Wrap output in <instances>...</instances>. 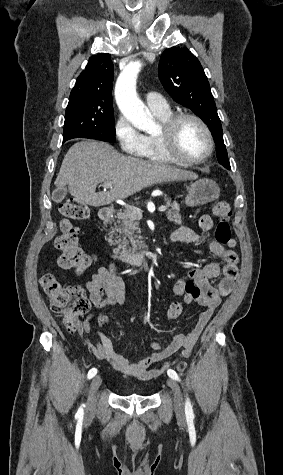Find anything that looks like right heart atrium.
<instances>
[{
    "label": "right heart atrium",
    "instance_id": "obj_1",
    "mask_svg": "<svg viewBox=\"0 0 283 475\" xmlns=\"http://www.w3.org/2000/svg\"><path fill=\"white\" fill-rule=\"evenodd\" d=\"M113 132L119 143L121 155L144 156L146 138L123 115H118L113 124Z\"/></svg>",
    "mask_w": 283,
    "mask_h": 475
}]
</instances>
